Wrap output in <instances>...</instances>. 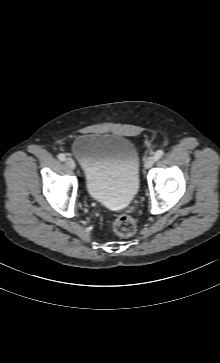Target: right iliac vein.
Wrapping results in <instances>:
<instances>
[{"mask_svg":"<svg viewBox=\"0 0 220 363\" xmlns=\"http://www.w3.org/2000/svg\"><path fill=\"white\" fill-rule=\"evenodd\" d=\"M65 164H66V166H67L68 168H70V169H75V167H76V164H75L74 160H73V159H71V158H67V159L65 160Z\"/></svg>","mask_w":220,"mask_h":363,"instance_id":"right-iliac-vein-1","label":"right iliac vein"}]
</instances>
